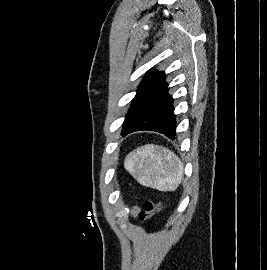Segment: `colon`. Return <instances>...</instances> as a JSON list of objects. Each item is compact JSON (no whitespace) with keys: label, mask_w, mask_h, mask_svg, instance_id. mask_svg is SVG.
I'll return each instance as SVG.
<instances>
[{"label":"colon","mask_w":267,"mask_h":270,"mask_svg":"<svg viewBox=\"0 0 267 270\" xmlns=\"http://www.w3.org/2000/svg\"><path fill=\"white\" fill-rule=\"evenodd\" d=\"M162 208L160 202H156L153 200H148L140 212V218L142 221L150 220L153 216H155Z\"/></svg>","instance_id":"5ec220e1"}]
</instances>
